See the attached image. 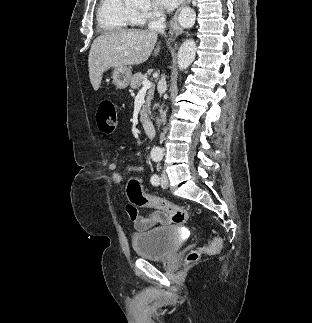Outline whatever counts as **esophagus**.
Returning a JSON list of instances; mask_svg holds the SVG:
<instances>
[{"label":"esophagus","instance_id":"1","mask_svg":"<svg viewBox=\"0 0 312 323\" xmlns=\"http://www.w3.org/2000/svg\"><path fill=\"white\" fill-rule=\"evenodd\" d=\"M191 0H183V3L177 8L176 12L173 15V18L170 21V33H171V40H174L178 35H180L183 32V29L178 24V15L180 13V10L182 8L186 7V5H189Z\"/></svg>","mask_w":312,"mask_h":323}]
</instances>
